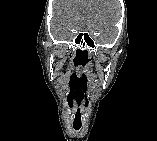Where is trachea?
<instances>
[{
    "mask_svg": "<svg viewBox=\"0 0 157 141\" xmlns=\"http://www.w3.org/2000/svg\"><path fill=\"white\" fill-rule=\"evenodd\" d=\"M76 131L80 130L81 126H73Z\"/></svg>",
    "mask_w": 157,
    "mask_h": 141,
    "instance_id": "obj_1",
    "label": "trachea"
}]
</instances>
